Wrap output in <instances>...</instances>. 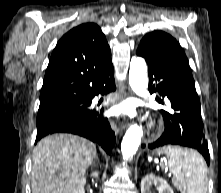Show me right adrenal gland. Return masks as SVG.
Listing matches in <instances>:
<instances>
[{
	"label": "right adrenal gland",
	"mask_w": 221,
	"mask_h": 193,
	"mask_svg": "<svg viewBox=\"0 0 221 193\" xmlns=\"http://www.w3.org/2000/svg\"><path fill=\"white\" fill-rule=\"evenodd\" d=\"M95 162L99 163V159L95 158L93 165H95Z\"/></svg>",
	"instance_id": "right-adrenal-gland-1"
}]
</instances>
